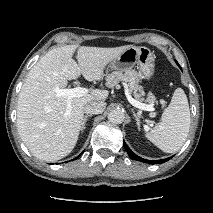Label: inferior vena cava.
Here are the masks:
<instances>
[{"label": "inferior vena cava", "instance_id": "602c4592", "mask_svg": "<svg viewBox=\"0 0 213 213\" xmlns=\"http://www.w3.org/2000/svg\"><path fill=\"white\" fill-rule=\"evenodd\" d=\"M106 108L104 101H92L84 106V112L90 115L101 114Z\"/></svg>", "mask_w": 213, "mask_h": 213}]
</instances>
